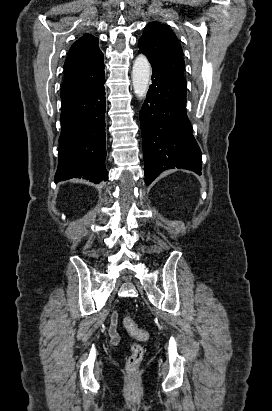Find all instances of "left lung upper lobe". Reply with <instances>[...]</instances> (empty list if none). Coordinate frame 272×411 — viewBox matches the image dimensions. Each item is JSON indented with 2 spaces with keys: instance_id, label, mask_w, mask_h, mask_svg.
<instances>
[{
  "instance_id": "left-lung-upper-lobe-1",
  "label": "left lung upper lobe",
  "mask_w": 272,
  "mask_h": 411,
  "mask_svg": "<svg viewBox=\"0 0 272 411\" xmlns=\"http://www.w3.org/2000/svg\"><path fill=\"white\" fill-rule=\"evenodd\" d=\"M139 53L147 56L153 69L186 87L182 48L176 35L164 25L149 23L138 41Z\"/></svg>"
}]
</instances>
